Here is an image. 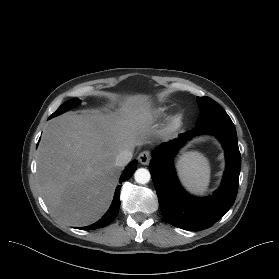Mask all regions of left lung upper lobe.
Here are the masks:
<instances>
[{"label":"left lung upper lobe","mask_w":279,"mask_h":279,"mask_svg":"<svg viewBox=\"0 0 279 279\" xmlns=\"http://www.w3.org/2000/svg\"><path fill=\"white\" fill-rule=\"evenodd\" d=\"M200 115L196 126L212 122H232L223 108L209 97H197Z\"/></svg>","instance_id":"5c2ea615"}]
</instances>
